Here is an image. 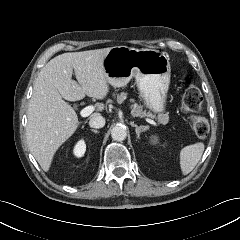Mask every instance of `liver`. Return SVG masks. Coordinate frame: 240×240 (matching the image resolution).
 Segmentation results:
<instances>
[{"instance_id":"obj_1","label":"liver","mask_w":240,"mask_h":240,"mask_svg":"<svg viewBox=\"0 0 240 240\" xmlns=\"http://www.w3.org/2000/svg\"><path fill=\"white\" fill-rule=\"evenodd\" d=\"M111 48L64 53L51 59L39 72L27 112L26 138L30 152L44 171H49L59 147L80 122L67 101L85 95L104 99L109 86L103 60ZM73 70L77 81L72 79ZM104 105H98L103 110ZM99 115L98 112L91 115Z\"/></svg>"}]
</instances>
